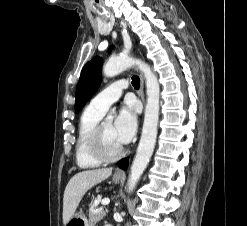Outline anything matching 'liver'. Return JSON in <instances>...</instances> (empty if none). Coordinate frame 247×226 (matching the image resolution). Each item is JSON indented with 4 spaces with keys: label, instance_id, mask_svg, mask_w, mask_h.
I'll return each instance as SVG.
<instances>
[{
    "label": "liver",
    "instance_id": "1",
    "mask_svg": "<svg viewBox=\"0 0 247 226\" xmlns=\"http://www.w3.org/2000/svg\"><path fill=\"white\" fill-rule=\"evenodd\" d=\"M112 174V168L86 170L75 174L68 182L63 198V223L74 215L84 194L94 185L107 179Z\"/></svg>",
    "mask_w": 247,
    "mask_h": 226
}]
</instances>
